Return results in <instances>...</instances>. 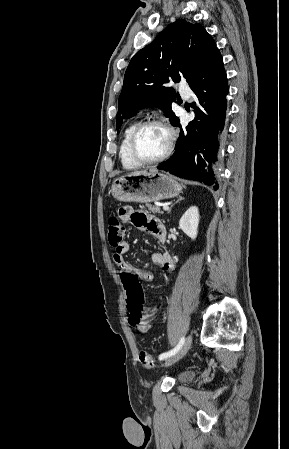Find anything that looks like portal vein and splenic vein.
<instances>
[{"instance_id":"obj_1","label":"portal vein and splenic vein","mask_w":289,"mask_h":449,"mask_svg":"<svg viewBox=\"0 0 289 449\" xmlns=\"http://www.w3.org/2000/svg\"><path fill=\"white\" fill-rule=\"evenodd\" d=\"M163 210L168 211L169 207L165 205V206H163Z\"/></svg>"}]
</instances>
